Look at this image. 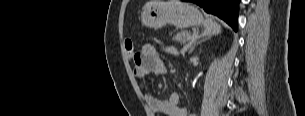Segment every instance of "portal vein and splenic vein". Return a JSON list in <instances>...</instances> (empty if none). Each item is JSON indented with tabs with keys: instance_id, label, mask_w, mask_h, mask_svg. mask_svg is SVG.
Returning <instances> with one entry per match:
<instances>
[{
	"instance_id": "portal-vein-and-splenic-vein-1",
	"label": "portal vein and splenic vein",
	"mask_w": 305,
	"mask_h": 116,
	"mask_svg": "<svg viewBox=\"0 0 305 116\" xmlns=\"http://www.w3.org/2000/svg\"><path fill=\"white\" fill-rule=\"evenodd\" d=\"M197 33H193L192 38L190 37L189 39L191 40V42L193 41L194 37H196Z\"/></svg>"
}]
</instances>
